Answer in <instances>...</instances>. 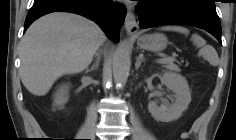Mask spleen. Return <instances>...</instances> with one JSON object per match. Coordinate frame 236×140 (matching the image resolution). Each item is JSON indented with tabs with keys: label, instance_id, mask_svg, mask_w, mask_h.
<instances>
[{
	"label": "spleen",
	"instance_id": "3e777b00",
	"mask_svg": "<svg viewBox=\"0 0 236 140\" xmlns=\"http://www.w3.org/2000/svg\"><path fill=\"white\" fill-rule=\"evenodd\" d=\"M161 29L166 31H176L185 35L189 34V30L181 26H165ZM191 40L194 45L200 48L199 56H202L213 66H216L218 64V55L216 50L212 46L207 45L206 41L201 36H199L198 34H193Z\"/></svg>",
	"mask_w": 236,
	"mask_h": 140
}]
</instances>
